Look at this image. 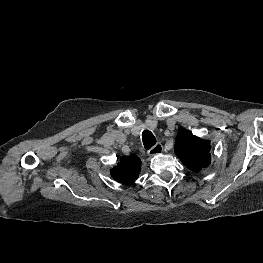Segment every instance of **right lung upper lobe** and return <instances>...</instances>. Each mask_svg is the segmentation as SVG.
Segmentation results:
<instances>
[{
  "label": "right lung upper lobe",
  "mask_w": 263,
  "mask_h": 263,
  "mask_svg": "<svg viewBox=\"0 0 263 263\" xmlns=\"http://www.w3.org/2000/svg\"><path fill=\"white\" fill-rule=\"evenodd\" d=\"M141 170V160L136 155L123 156L117 166L110 173L118 182L129 183L138 179Z\"/></svg>",
  "instance_id": "1"
}]
</instances>
